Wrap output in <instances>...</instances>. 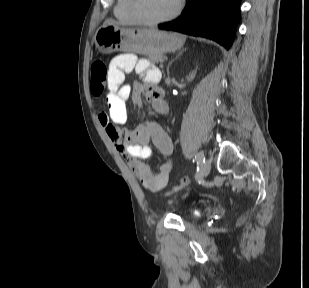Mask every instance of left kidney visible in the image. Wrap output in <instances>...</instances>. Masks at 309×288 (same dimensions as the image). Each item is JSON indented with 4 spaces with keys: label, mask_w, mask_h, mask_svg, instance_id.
Instances as JSON below:
<instances>
[{
    "label": "left kidney",
    "mask_w": 309,
    "mask_h": 288,
    "mask_svg": "<svg viewBox=\"0 0 309 288\" xmlns=\"http://www.w3.org/2000/svg\"><path fill=\"white\" fill-rule=\"evenodd\" d=\"M195 74H196L195 72H192L191 75H189L188 80L192 81L194 79V77H195Z\"/></svg>",
    "instance_id": "left-kidney-1"
}]
</instances>
